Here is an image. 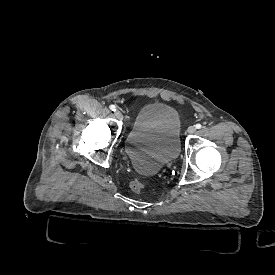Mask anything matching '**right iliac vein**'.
Listing matches in <instances>:
<instances>
[{
    "label": "right iliac vein",
    "instance_id": "63e3f726",
    "mask_svg": "<svg viewBox=\"0 0 275 275\" xmlns=\"http://www.w3.org/2000/svg\"><path fill=\"white\" fill-rule=\"evenodd\" d=\"M115 116H116V118L119 119V120H122V119H123V115H122L121 112H119V111H116V112H115Z\"/></svg>",
    "mask_w": 275,
    "mask_h": 275
}]
</instances>
